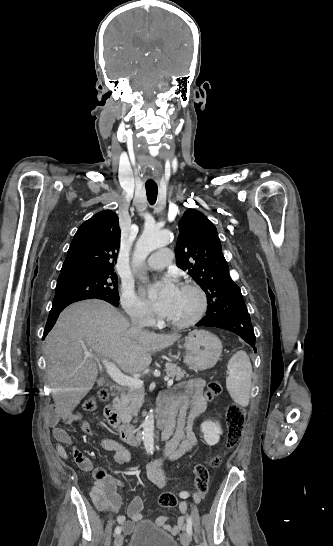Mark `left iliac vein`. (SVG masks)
<instances>
[{
  "mask_svg": "<svg viewBox=\"0 0 333 546\" xmlns=\"http://www.w3.org/2000/svg\"><path fill=\"white\" fill-rule=\"evenodd\" d=\"M190 541H191V536H190V534L187 533V532L182 533V535H181V543L183 544V546H189Z\"/></svg>",
  "mask_w": 333,
  "mask_h": 546,
  "instance_id": "4c4485c4",
  "label": "left iliac vein"
}]
</instances>
